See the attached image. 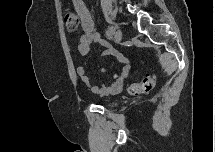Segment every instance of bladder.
Instances as JSON below:
<instances>
[{"instance_id": "31cf9c89", "label": "bladder", "mask_w": 215, "mask_h": 152, "mask_svg": "<svg viewBox=\"0 0 215 152\" xmlns=\"http://www.w3.org/2000/svg\"><path fill=\"white\" fill-rule=\"evenodd\" d=\"M103 104L107 109H110V110L115 107V103L112 101H105Z\"/></svg>"}]
</instances>
